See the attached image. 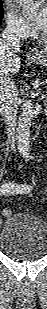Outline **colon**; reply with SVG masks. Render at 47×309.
<instances>
[{"mask_svg":"<svg viewBox=\"0 0 47 309\" xmlns=\"http://www.w3.org/2000/svg\"><path fill=\"white\" fill-rule=\"evenodd\" d=\"M3 215L6 216V217H9L12 215V210L9 209V208H4L3 211H2Z\"/></svg>","mask_w":47,"mask_h":309,"instance_id":"obj_1","label":"colon"}]
</instances>
